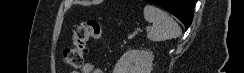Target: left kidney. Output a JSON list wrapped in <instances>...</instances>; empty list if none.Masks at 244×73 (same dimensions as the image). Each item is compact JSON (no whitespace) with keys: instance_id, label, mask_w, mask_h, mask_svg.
Segmentation results:
<instances>
[{"instance_id":"obj_1","label":"left kidney","mask_w":244,"mask_h":73,"mask_svg":"<svg viewBox=\"0 0 244 73\" xmlns=\"http://www.w3.org/2000/svg\"><path fill=\"white\" fill-rule=\"evenodd\" d=\"M153 59L154 55L151 51L129 50L118 60L113 73H151Z\"/></svg>"}]
</instances>
